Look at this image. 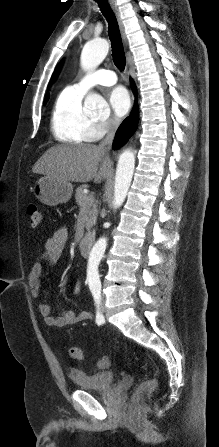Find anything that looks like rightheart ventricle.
<instances>
[{"label":"right heart ventricle","instance_id":"e07e8e85","mask_svg":"<svg viewBox=\"0 0 219 447\" xmlns=\"http://www.w3.org/2000/svg\"><path fill=\"white\" fill-rule=\"evenodd\" d=\"M84 94L69 87L57 96L51 114V129L56 140L67 144H82L97 140L101 134L95 121L83 111Z\"/></svg>","mask_w":219,"mask_h":447}]
</instances>
